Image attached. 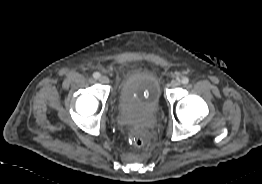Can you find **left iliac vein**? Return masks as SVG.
<instances>
[{
	"label": "left iliac vein",
	"mask_w": 262,
	"mask_h": 184,
	"mask_svg": "<svg viewBox=\"0 0 262 184\" xmlns=\"http://www.w3.org/2000/svg\"><path fill=\"white\" fill-rule=\"evenodd\" d=\"M180 84H181V82L177 79L172 80L171 83H170L171 87H173V88L180 86Z\"/></svg>",
	"instance_id": "4c4485c4"
}]
</instances>
